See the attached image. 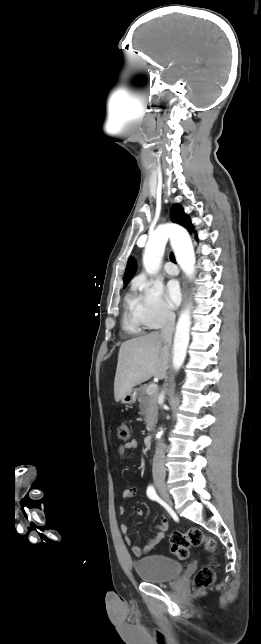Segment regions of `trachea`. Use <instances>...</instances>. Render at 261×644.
I'll list each match as a JSON object with an SVG mask.
<instances>
[{"mask_svg":"<svg viewBox=\"0 0 261 644\" xmlns=\"http://www.w3.org/2000/svg\"><path fill=\"white\" fill-rule=\"evenodd\" d=\"M170 259H171V261H172V262H174V263H175V257H174V254H173V253H171V254H170Z\"/></svg>","mask_w":261,"mask_h":644,"instance_id":"3493384b","label":"trachea"}]
</instances>
